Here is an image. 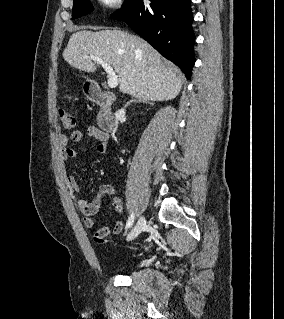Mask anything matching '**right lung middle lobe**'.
Segmentation results:
<instances>
[{
    "label": "right lung middle lobe",
    "instance_id": "1",
    "mask_svg": "<svg viewBox=\"0 0 284 319\" xmlns=\"http://www.w3.org/2000/svg\"><path fill=\"white\" fill-rule=\"evenodd\" d=\"M129 0H126L128 2ZM93 11L90 0H74L72 17L79 18Z\"/></svg>",
    "mask_w": 284,
    "mask_h": 319
}]
</instances>
